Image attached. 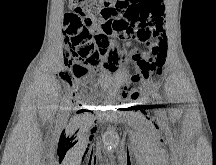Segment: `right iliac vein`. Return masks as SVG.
<instances>
[{"label": "right iliac vein", "mask_w": 216, "mask_h": 165, "mask_svg": "<svg viewBox=\"0 0 216 165\" xmlns=\"http://www.w3.org/2000/svg\"><path fill=\"white\" fill-rule=\"evenodd\" d=\"M71 107L68 105L65 109H64V113H63V116H65V117H67L68 115H69V109H70Z\"/></svg>", "instance_id": "63e3f726"}]
</instances>
